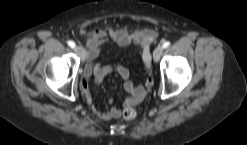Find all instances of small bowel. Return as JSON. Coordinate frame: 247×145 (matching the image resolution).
I'll return each instance as SVG.
<instances>
[{
  "instance_id": "1",
  "label": "small bowel",
  "mask_w": 247,
  "mask_h": 145,
  "mask_svg": "<svg viewBox=\"0 0 247 145\" xmlns=\"http://www.w3.org/2000/svg\"><path fill=\"white\" fill-rule=\"evenodd\" d=\"M111 38L120 47L133 45L139 49V56L143 63L145 80L141 85H135L130 77L129 70L122 65H103L95 60L101 53L103 45ZM156 40V33L150 29H138L130 33L127 28L121 27L112 29L108 26L92 30L87 37V64L84 68L81 90L86 102L92 111L104 120H112L121 117V110L111 107L106 112H100L93 104L92 94L89 88V81L94 78L96 83H100L109 74H118L124 80V89L129 94L124 102V107L129 108L140 103L153 86L150 44ZM113 100L108 101L107 106Z\"/></svg>"
}]
</instances>
